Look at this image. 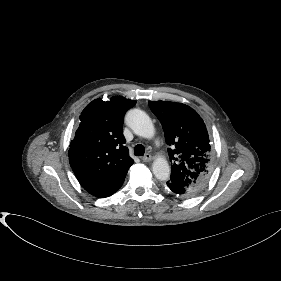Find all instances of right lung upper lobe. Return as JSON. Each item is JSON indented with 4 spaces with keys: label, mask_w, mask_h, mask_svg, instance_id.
<instances>
[{
    "label": "right lung upper lobe",
    "mask_w": 281,
    "mask_h": 281,
    "mask_svg": "<svg viewBox=\"0 0 281 281\" xmlns=\"http://www.w3.org/2000/svg\"><path fill=\"white\" fill-rule=\"evenodd\" d=\"M136 101L114 96L93 100L80 116V126L68 152L70 165L81 186L96 197H107L123 184L133 164L124 146V115Z\"/></svg>",
    "instance_id": "1"
}]
</instances>
